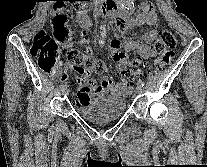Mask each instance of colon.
Masks as SVG:
<instances>
[{"mask_svg":"<svg viewBox=\"0 0 207 167\" xmlns=\"http://www.w3.org/2000/svg\"><path fill=\"white\" fill-rule=\"evenodd\" d=\"M71 10L64 7H55L52 20L54 36L45 31L36 33L30 48L31 55L37 60L41 71L49 75H55L61 66L59 44L65 49L67 63L77 69H85L88 72L102 73L105 64L88 52H82L76 47L74 32L71 28ZM158 57L153 63L155 71L162 70L173 58V49L177 46L176 36L164 30L160 33L156 42ZM146 74L144 70H131L125 68L121 72L122 84L131 87L135 80Z\"/></svg>","mask_w":207,"mask_h":167,"instance_id":"colon-1","label":"colon"}]
</instances>
